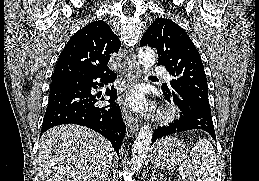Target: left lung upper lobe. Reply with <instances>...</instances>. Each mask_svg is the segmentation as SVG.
<instances>
[{"label": "left lung upper lobe", "mask_w": 259, "mask_h": 181, "mask_svg": "<svg viewBox=\"0 0 259 181\" xmlns=\"http://www.w3.org/2000/svg\"><path fill=\"white\" fill-rule=\"evenodd\" d=\"M141 45L157 49L158 65L174 77L162 89L185 95L196 105L211 112L207 79L200 54L187 33L172 20L156 19L146 30Z\"/></svg>", "instance_id": "5c2ea615"}]
</instances>
